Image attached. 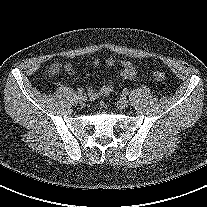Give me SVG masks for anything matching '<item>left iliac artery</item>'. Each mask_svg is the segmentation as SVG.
<instances>
[{
	"mask_svg": "<svg viewBox=\"0 0 207 207\" xmlns=\"http://www.w3.org/2000/svg\"><path fill=\"white\" fill-rule=\"evenodd\" d=\"M123 94H124V95H128V94H129V90H128L127 88H125V89L123 90Z\"/></svg>",
	"mask_w": 207,
	"mask_h": 207,
	"instance_id": "44dca946",
	"label": "left iliac artery"
}]
</instances>
